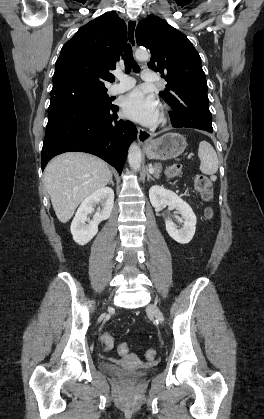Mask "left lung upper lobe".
Returning a JSON list of instances; mask_svg holds the SVG:
<instances>
[{"mask_svg":"<svg viewBox=\"0 0 264 419\" xmlns=\"http://www.w3.org/2000/svg\"><path fill=\"white\" fill-rule=\"evenodd\" d=\"M135 34L138 45L151 51L148 67L167 82L159 94L171 107L184 98L207 94L201 58L184 34L156 16L140 21Z\"/></svg>","mask_w":264,"mask_h":419,"instance_id":"5c2ea615","label":"left lung upper lobe"}]
</instances>
